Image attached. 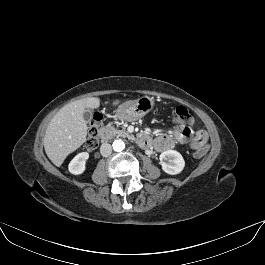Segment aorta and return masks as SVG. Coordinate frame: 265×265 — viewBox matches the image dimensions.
Listing matches in <instances>:
<instances>
[{
  "instance_id": "1",
  "label": "aorta",
  "mask_w": 265,
  "mask_h": 265,
  "mask_svg": "<svg viewBox=\"0 0 265 265\" xmlns=\"http://www.w3.org/2000/svg\"><path fill=\"white\" fill-rule=\"evenodd\" d=\"M113 150L116 152H121L125 149V143L121 139L115 140L112 144Z\"/></svg>"
}]
</instances>
